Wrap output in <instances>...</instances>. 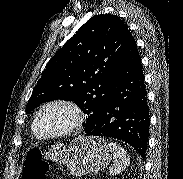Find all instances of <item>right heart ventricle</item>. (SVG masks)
<instances>
[{
  "mask_svg": "<svg viewBox=\"0 0 183 179\" xmlns=\"http://www.w3.org/2000/svg\"><path fill=\"white\" fill-rule=\"evenodd\" d=\"M32 132H33L34 136L40 137V136L38 135L36 129H35V119H34V121H33V123H32Z\"/></svg>",
  "mask_w": 183,
  "mask_h": 179,
  "instance_id": "obj_1",
  "label": "right heart ventricle"
}]
</instances>
